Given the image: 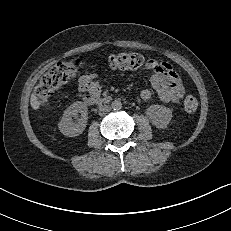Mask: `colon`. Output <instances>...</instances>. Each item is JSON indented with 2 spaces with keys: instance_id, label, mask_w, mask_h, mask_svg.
<instances>
[{
  "instance_id": "1",
  "label": "colon",
  "mask_w": 231,
  "mask_h": 231,
  "mask_svg": "<svg viewBox=\"0 0 231 231\" xmlns=\"http://www.w3.org/2000/svg\"><path fill=\"white\" fill-rule=\"evenodd\" d=\"M143 61V57L138 53L122 52L109 55L104 64L113 70L132 71L140 68ZM81 67L82 63L79 60L58 62L52 66L42 76L36 87V95L41 104H48L63 84L78 75ZM183 106L186 112L193 113L198 108V101L194 96H187L184 99Z\"/></svg>"
}]
</instances>
